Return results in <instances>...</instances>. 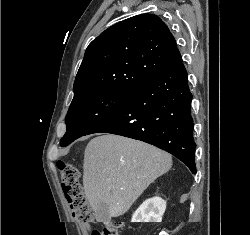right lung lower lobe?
Wrapping results in <instances>:
<instances>
[{"label":"right lung lower lobe","instance_id":"1","mask_svg":"<svg viewBox=\"0 0 250 235\" xmlns=\"http://www.w3.org/2000/svg\"><path fill=\"white\" fill-rule=\"evenodd\" d=\"M191 100L187 71L177 49L162 72L85 135L111 133L144 141L171 153L195 174Z\"/></svg>","mask_w":250,"mask_h":235}]
</instances>
